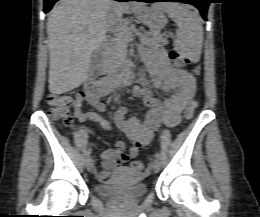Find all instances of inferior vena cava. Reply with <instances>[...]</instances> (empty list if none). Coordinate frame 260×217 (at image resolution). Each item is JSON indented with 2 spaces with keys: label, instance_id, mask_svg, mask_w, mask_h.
<instances>
[{
  "label": "inferior vena cava",
  "instance_id": "602c4592",
  "mask_svg": "<svg viewBox=\"0 0 260 217\" xmlns=\"http://www.w3.org/2000/svg\"><path fill=\"white\" fill-rule=\"evenodd\" d=\"M111 15H110V26L108 31L116 34L122 28V21L120 20L121 12L117 6L118 3L111 1Z\"/></svg>",
  "mask_w": 260,
  "mask_h": 217
}]
</instances>
